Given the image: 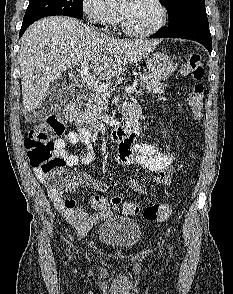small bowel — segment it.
I'll list each match as a JSON object with an SVG mask.
<instances>
[{"label": "small bowel", "instance_id": "1", "mask_svg": "<svg viewBox=\"0 0 233 294\" xmlns=\"http://www.w3.org/2000/svg\"><path fill=\"white\" fill-rule=\"evenodd\" d=\"M58 153L66 160L67 166H85L93 162L95 157V149L91 141V135L88 129L83 126L77 127L76 130L70 131L65 136L56 139L55 141ZM82 143L85 150L80 155L70 154L66 151L67 144ZM174 154L173 152H159L154 144L150 143H121L118 148L117 162L127 165L135 162L142 170L157 173L155 182L161 185H168L171 182L174 173L173 167ZM39 180L47 187L50 199L61 211L65 219L77 231L85 233L100 221L108 218L111 213V206L105 198L99 195H93L90 198L91 205L97 209L96 213H88L79 208L76 201L65 198L62 191L54 188L49 179L37 170ZM76 185L92 188L96 191L106 192L109 190V185L96 180L89 175L76 172L73 174ZM128 185L143 193L144 187L140 185L137 177L129 180Z\"/></svg>", "mask_w": 233, "mask_h": 294}]
</instances>
